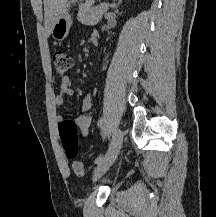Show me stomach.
I'll return each instance as SVG.
<instances>
[{"instance_id":"obj_1","label":"stomach","mask_w":216,"mask_h":217,"mask_svg":"<svg viewBox=\"0 0 216 217\" xmlns=\"http://www.w3.org/2000/svg\"><path fill=\"white\" fill-rule=\"evenodd\" d=\"M78 2L79 0H68V2L66 3L61 14L56 19L52 27L51 34L54 39L62 41L68 36L69 30L72 25V19L69 10L72 7V5Z\"/></svg>"}]
</instances>
